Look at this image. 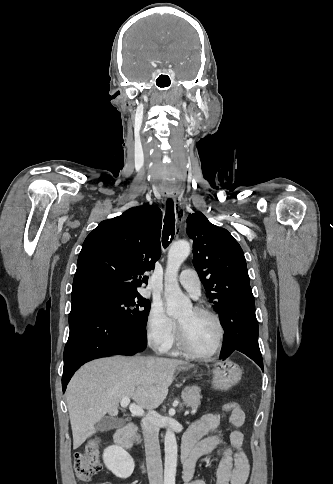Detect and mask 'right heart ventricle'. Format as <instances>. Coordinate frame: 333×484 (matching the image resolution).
Returning a JSON list of instances; mask_svg holds the SVG:
<instances>
[{"label": "right heart ventricle", "mask_w": 333, "mask_h": 484, "mask_svg": "<svg viewBox=\"0 0 333 484\" xmlns=\"http://www.w3.org/2000/svg\"><path fill=\"white\" fill-rule=\"evenodd\" d=\"M169 350L172 354H177L181 350L179 343L176 342L175 344H173Z\"/></svg>", "instance_id": "obj_1"}]
</instances>
